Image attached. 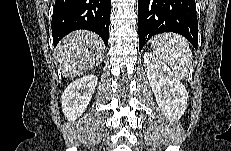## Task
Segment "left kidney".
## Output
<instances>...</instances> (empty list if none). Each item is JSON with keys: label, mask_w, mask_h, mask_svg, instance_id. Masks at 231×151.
Masks as SVG:
<instances>
[{"label": "left kidney", "mask_w": 231, "mask_h": 151, "mask_svg": "<svg viewBox=\"0 0 231 151\" xmlns=\"http://www.w3.org/2000/svg\"><path fill=\"white\" fill-rule=\"evenodd\" d=\"M145 71L162 113L169 120H179L187 108L188 92L181 81L155 55L145 52Z\"/></svg>", "instance_id": "1"}]
</instances>
